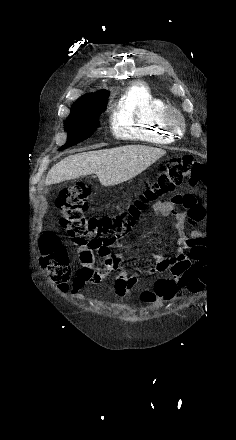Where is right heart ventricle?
I'll list each match as a JSON object with an SVG mask.
<instances>
[{
	"mask_svg": "<svg viewBox=\"0 0 236 440\" xmlns=\"http://www.w3.org/2000/svg\"><path fill=\"white\" fill-rule=\"evenodd\" d=\"M167 106L148 86L135 83L113 106L110 115L111 130L120 139L152 145L169 144L174 137L162 121Z\"/></svg>",
	"mask_w": 236,
	"mask_h": 440,
	"instance_id": "obj_1",
	"label": "right heart ventricle"
}]
</instances>
